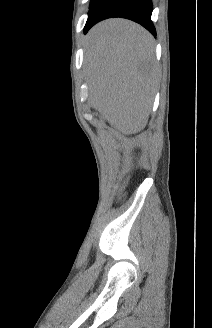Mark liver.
Instances as JSON below:
<instances>
[{
    "label": "liver",
    "mask_w": 212,
    "mask_h": 328,
    "mask_svg": "<svg viewBox=\"0 0 212 328\" xmlns=\"http://www.w3.org/2000/svg\"><path fill=\"white\" fill-rule=\"evenodd\" d=\"M92 106L123 134L148 122L157 85L153 37L125 19H108L86 37Z\"/></svg>",
    "instance_id": "6515ba94"
}]
</instances>
